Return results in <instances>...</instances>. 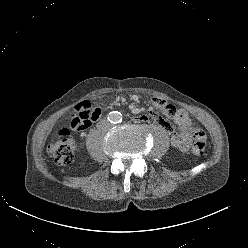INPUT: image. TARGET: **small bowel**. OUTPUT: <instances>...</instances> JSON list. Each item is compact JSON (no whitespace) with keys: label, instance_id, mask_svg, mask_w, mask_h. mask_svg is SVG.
I'll return each mask as SVG.
<instances>
[{"label":"small bowel","instance_id":"1","mask_svg":"<svg viewBox=\"0 0 248 248\" xmlns=\"http://www.w3.org/2000/svg\"><path fill=\"white\" fill-rule=\"evenodd\" d=\"M151 104L153 107H148L147 108V113L150 114V116L147 118L145 115H142L139 117V120L144 121L147 119L149 123L152 125H156L157 123L164 128L165 130L171 132V145L182 151L186 152L189 150L190 145H191V131L190 126H191V120L189 116L187 115L186 112L181 111L179 109H176L173 105L169 104L168 101L162 100L161 97L159 96H154L151 99ZM155 109L161 110V115L157 113ZM98 115L96 120H98L101 117L102 111L99 108L98 109ZM134 113H140L141 109L140 108H134L133 109ZM169 121H174L176 120V123L179 126L178 131H172V127L169 122H167L165 119Z\"/></svg>","mask_w":248,"mask_h":248}]
</instances>
